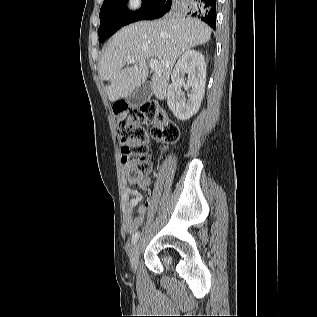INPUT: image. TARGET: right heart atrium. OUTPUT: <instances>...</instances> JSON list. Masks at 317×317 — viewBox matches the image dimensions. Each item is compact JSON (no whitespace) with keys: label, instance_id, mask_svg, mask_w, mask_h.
<instances>
[{"label":"right heart atrium","instance_id":"right-heart-atrium-1","mask_svg":"<svg viewBox=\"0 0 317 317\" xmlns=\"http://www.w3.org/2000/svg\"><path fill=\"white\" fill-rule=\"evenodd\" d=\"M125 7L130 11H136L141 7V0H125Z\"/></svg>","mask_w":317,"mask_h":317}]
</instances>
